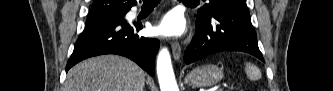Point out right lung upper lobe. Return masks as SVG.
I'll return each instance as SVG.
<instances>
[{
    "mask_svg": "<svg viewBox=\"0 0 333 91\" xmlns=\"http://www.w3.org/2000/svg\"><path fill=\"white\" fill-rule=\"evenodd\" d=\"M136 0H94L90 17H109L128 12Z\"/></svg>",
    "mask_w": 333,
    "mask_h": 91,
    "instance_id": "obj_1",
    "label": "right lung upper lobe"
}]
</instances>
